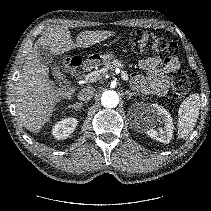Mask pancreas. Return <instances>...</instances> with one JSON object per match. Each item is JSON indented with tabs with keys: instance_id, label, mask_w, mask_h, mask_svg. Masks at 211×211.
I'll return each mask as SVG.
<instances>
[{
	"instance_id": "1",
	"label": "pancreas",
	"mask_w": 211,
	"mask_h": 211,
	"mask_svg": "<svg viewBox=\"0 0 211 211\" xmlns=\"http://www.w3.org/2000/svg\"><path fill=\"white\" fill-rule=\"evenodd\" d=\"M124 67L125 65L122 63L121 60L113 59L112 61H109L108 63L105 64L103 70L100 71V76H103L104 71L106 70H113L115 68H124Z\"/></svg>"
}]
</instances>
